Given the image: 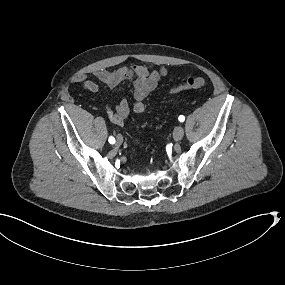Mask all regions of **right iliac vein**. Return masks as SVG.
<instances>
[{
    "instance_id": "63e3f726",
    "label": "right iliac vein",
    "mask_w": 285,
    "mask_h": 285,
    "mask_svg": "<svg viewBox=\"0 0 285 285\" xmlns=\"http://www.w3.org/2000/svg\"><path fill=\"white\" fill-rule=\"evenodd\" d=\"M123 142V138L122 136L118 135L117 136V140H116V145L120 146Z\"/></svg>"
}]
</instances>
